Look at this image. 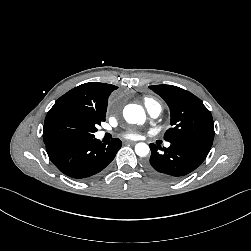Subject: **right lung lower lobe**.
<instances>
[{"label": "right lung lower lobe", "mask_w": 251, "mask_h": 251, "mask_svg": "<svg viewBox=\"0 0 251 251\" xmlns=\"http://www.w3.org/2000/svg\"><path fill=\"white\" fill-rule=\"evenodd\" d=\"M45 144L53 164L74 179H84L102 171L114 159L122 145L117 138L102 143L94 136Z\"/></svg>", "instance_id": "1"}]
</instances>
